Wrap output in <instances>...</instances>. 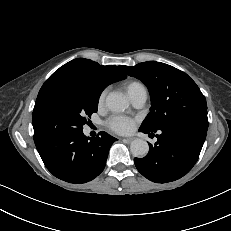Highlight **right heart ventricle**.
Wrapping results in <instances>:
<instances>
[{
  "instance_id": "obj_1",
  "label": "right heart ventricle",
  "mask_w": 231,
  "mask_h": 231,
  "mask_svg": "<svg viewBox=\"0 0 231 231\" xmlns=\"http://www.w3.org/2000/svg\"><path fill=\"white\" fill-rule=\"evenodd\" d=\"M125 88L130 98L140 92H146L144 85L139 81H128L125 83Z\"/></svg>"
}]
</instances>
